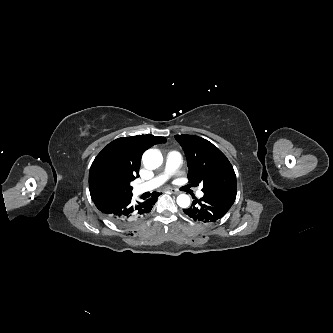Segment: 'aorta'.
<instances>
[{"mask_svg":"<svg viewBox=\"0 0 333 333\" xmlns=\"http://www.w3.org/2000/svg\"><path fill=\"white\" fill-rule=\"evenodd\" d=\"M143 164L148 169H156L161 166L163 162V157L160 151L157 149H148L144 152L143 157ZM177 204L182 208H187L190 205V197L186 194H180L177 197Z\"/></svg>","mask_w":333,"mask_h":333,"instance_id":"1","label":"aorta"}]
</instances>
